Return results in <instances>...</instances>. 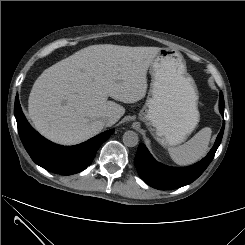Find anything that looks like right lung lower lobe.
I'll return each mask as SVG.
<instances>
[{
	"mask_svg": "<svg viewBox=\"0 0 245 245\" xmlns=\"http://www.w3.org/2000/svg\"><path fill=\"white\" fill-rule=\"evenodd\" d=\"M14 113L19 136L32 160L42 168L57 174L72 175L86 169L100 145L114 132V129H111L79 145L61 146L45 139L32 128L22 112L18 95Z\"/></svg>",
	"mask_w": 245,
	"mask_h": 245,
	"instance_id": "right-lung-lower-lobe-1",
	"label": "right lung lower lobe"
}]
</instances>
